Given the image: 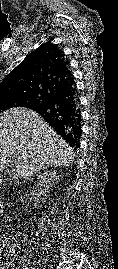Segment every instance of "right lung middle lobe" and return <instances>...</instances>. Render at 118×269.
<instances>
[{"label":"right lung middle lobe","mask_w":118,"mask_h":269,"mask_svg":"<svg viewBox=\"0 0 118 269\" xmlns=\"http://www.w3.org/2000/svg\"><path fill=\"white\" fill-rule=\"evenodd\" d=\"M38 104L37 100L32 97H2L0 98V113L14 107H27Z\"/></svg>","instance_id":"right-lung-middle-lobe-1"}]
</instances>
